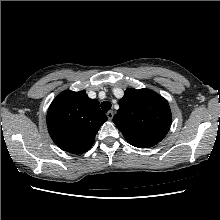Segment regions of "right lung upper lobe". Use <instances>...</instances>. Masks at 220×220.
Listing matches in <instances>:
<instances>
[{"label":"right lung upper lobe","instance_id":"cb5924a9","mask_svg":"<svg viewBox=\"0 0 220 220\" xmlns=\"http://www.w3.org/2000/svg\"><path fill=\"white\" fill-rule=\"evenodd\" d=\"M107 121L99 101L90 99L85 90L64 91L51 103L47 112L48 132L62 150L74 154L88 151L95 136Z\"/></svg>","mask_w":220,"mask_h":220}]
</instances>
